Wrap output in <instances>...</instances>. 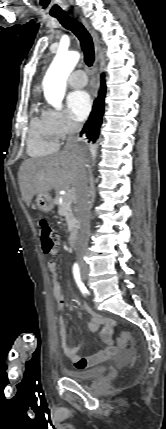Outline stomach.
Returning <instances> with one entry per match:
<instances>
[{
  "mask_svg": "<svg viewBox=\"0 0 166 429\" xmlns=\"http://www.w3.org/2000/svg\"><path fill=\"white\" fill-rule=\"evenodd\" d=\"M36 206L42 212H50L54 207V201L49 193H40L36 197Z\"/></svg>",
  "mask_w": 166,
  "mask_h": 429,
  "instance_id": "0dacf381",
  "label": "stomach"
}]
</instances>
